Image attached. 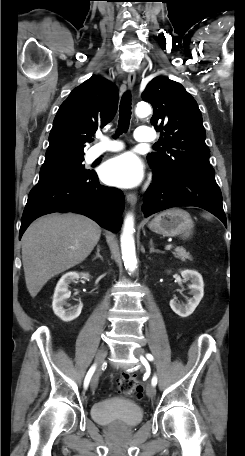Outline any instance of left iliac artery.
I'll use <instances>...</instances> for the list:
<instances>
[{
    "label": "left iliac artery",
    "mask_w": 245,
    "mask_h": 456,
    "mask_svg": "<svg viewBox=\"0 0 245 456\" xmlns=\"http://www.w3.org/2000/svg\"><path fill=\"white\" fill-rule=\"evenodd\" d=\"M146 357H147V359H148L149 361H153V359H154L153 356H152L151 354H147ZM151 382H152V385H153V386H156V384H157V377H156V376H153Z\"/></svg>",
    "instance_id": "left-iliac-artery-1"
}]
</instances>
